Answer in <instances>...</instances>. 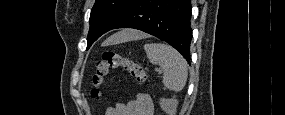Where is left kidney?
Masks as SVG:
<instances>
[{"label":"left kidney","mask_w":285,"mask_h":115,"mask_svg":"<svg viewBox=\"0 0 285 115\" xmlns=\"http://www.w3.org/2000/svg\"><path fill=\"white\" fill-rule=\"evenodd\" d=\"M178 101L174 98L171 99H160V107L168 115H175L177 109Z\"/></svg>","instance_id":"obj_1"}]
</instances>
